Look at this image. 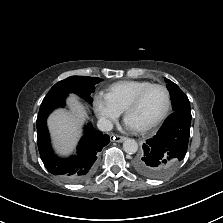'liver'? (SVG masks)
Returning a JSON list of instances; mask_svg holds the SVG:
<instances>
[{
  "label": "liver",
  "instance_id": "6515ba94",
  "mask_svg": "<svg viewBox=\"0 0 223 223\" xmlns=\"http://www.w3.org/2000/svg\"><path fill=\"white\" fill-rule=\"evenodd\" d=\"M70 111L59 109L50 115L48 127L57 153L67 155L77 144L81 135V126L87 118L85 107L78 97L68 98Z\"/></svg>",
  "mask_w": 223,
  "mask_h": 223
}]
</instances>
